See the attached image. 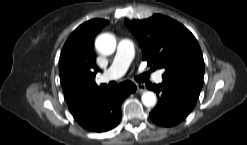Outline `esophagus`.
Wrapping results in <instances>:
<instances>
[{"label":"esophagus","instance_id":"esophagus-1","mask_svg":"<svg viewBox=\"0 0 247 145\" xmlns=\"http://www.w3.org/2000/svg\"><path fill=\"white\" fill-rule=\"evenodd\" d=\"M137 87V92L142 93L145 90V85L143 83H135Z\"/></svg>","mask_w":247,"mask_h":145}]
</instances>
